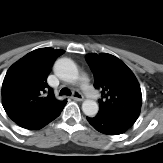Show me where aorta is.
Listing matches in <instances>:
<instances>
[{"label": "aorta", "mask_w": 163, "mask_h": 163, "mask_svg": "<svg viewBox=\"0 0 163 163\" xmlns=\"http://www.w3.org/2000/svg\"><path fill=\"white\" fill-rule=\"evenodd\" d=\"M55 74L63 81L74 83L79 78V72L75 63L69 59H60L54 66ZM85 115L93 117L98 113L99 106L93 100H85L82 104Z\"/></svg>", "instance_id": "obj_1"}]
</instances>
